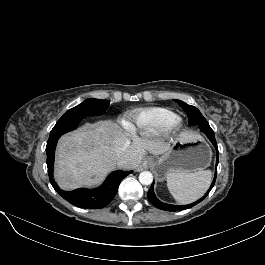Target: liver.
I'll return each instance as SVG.
<instances>
[{
  "mask_svg": "<svg viewBox=\"0 0 265 265\" xmlns=\"http://www.w3.org/2000/svg\"><path fill=\"white\" fill-rule=\"evenodd\" d=\"M198 135L183 132L180 139L196 138ZM128 141L126 162L118 164L113 148ZM169 143L155 140L134 139L130 144L127 135L110 121L86 123L77 130L64 135L58 143L55 162V179L61 189L71 191L80 186L99 184L116 165L125 169L136 168L146 151L159 155L168 151Z\"/></svg>",
  "mask_w": 265,
  "mask_h": 265,
  "instance_id": "liver-1",
  "label": "liver"
}]
</instances>
